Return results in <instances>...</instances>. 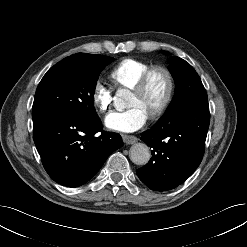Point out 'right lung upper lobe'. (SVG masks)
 I'll list each match as a JSON object with an SVG mask.
<instances>
[{
	"label": "right lung upper lobe",
	"instance_id": "1",
	"mask_svg": "<svg viewBox=\"0 0 247 247\" xmlns=\"http://www.w3.org/2000/svg\"><path fill=\"white\" fill-rule=\"evenodd\" d=\"M83 55H85V53H77V54L71 55L70 57H79Z\"/></svg>",
	"mask_w": 247,
	"mask_h": 247
}]
</instances>
